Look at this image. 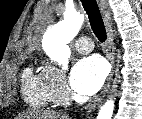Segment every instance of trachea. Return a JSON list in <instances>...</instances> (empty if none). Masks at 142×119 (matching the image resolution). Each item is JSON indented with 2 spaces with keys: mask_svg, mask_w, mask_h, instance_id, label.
<instances>
[{
  "mask_svg": "<svg viewBox=\"0 0 142 119\" xmlns=\"http://www.w3.org/2000/svg\"><path fill=\"white\" fill-rule=\"evenodd\" d=\"M81 2L95 36L99 41L104 42L106 40V29L96 0H81Z\"/></svg>",
  "mask_w": 142,
  "mask_h": 119,
  "instance_id": "1",
  "label": "trachea"
}]
</instances>
